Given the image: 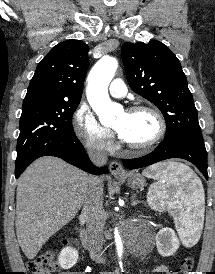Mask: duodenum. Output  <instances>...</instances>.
I'll use <instances>...</instances> for the list:
<instances>
[{"instance_id":"410a0bca","label":"duodenum","mask_w":215,"mask_h":274,"mask_svg":"<svg viewBox=\"0 0 215 274\" xmlns=\"http://www.w3.org/2000/svg\"><path fill=\"white\" fill-rule=\"evenodd\" d=\"M79 233H80V238L83 246L90 252L91 256L99 262H105L106 261L105 255L103 254L102 251H100L98 248L95 247V245L89 238L87 232L83 228H80Z\"/></svg>"}]
</instances>
